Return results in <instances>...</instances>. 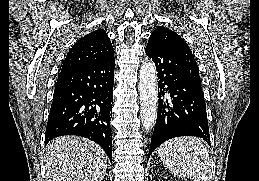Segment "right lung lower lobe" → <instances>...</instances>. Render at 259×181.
I'll use <instances>...</instances> for the list:
<instances>
[{
	"mask_svg": "<svg viewBox=\"0 0 259 181\" xmlns=\"http://www.w3.org/2000/svg\"><path fill=\"white\" fill-rule=\"evenodd\" d=\"M114 54L60 72L46 127L45 145L54 137L76 135L98 143L112 159Z\"/></svg>",
	"mask_w": 259,
	"mask_h": 181,
	"instance_id": "98d812e1",
	"label": "right lung lower lobe"
}]
</instances>
